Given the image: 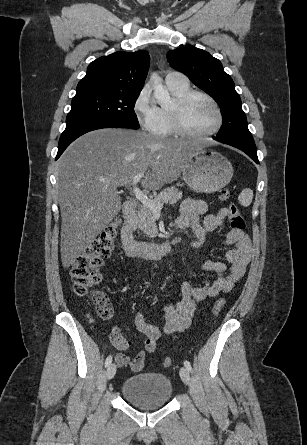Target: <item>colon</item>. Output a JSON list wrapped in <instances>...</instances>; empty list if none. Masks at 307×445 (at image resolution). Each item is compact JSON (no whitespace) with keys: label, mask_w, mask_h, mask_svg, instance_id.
Returning <instances> with one entry per match:
<instances>
[{"label":"colon","mask_w":307,"mask_h":445,"mask_svg":"<svg viewBox=\"0 0 307 445\" xmlns=\"http://www.w3.org/2000/svg\"><path fill=\"white\" fill-rule=\"evenodd\" d=\"M221 201L230 200V191L222 189L219 192ZM228 209L229 222L232 229L244 231L246 224L235 203L230 202ZM118 222H114L103 229L95 240L73 261L70 267V277L73 283V290L78 296H85L90 293L91 300L98 316L104 320L113 317V308L108 297L101 291L92 290L100 281V269L103 260L108 258L115 245L117 237ZM225 304L223 298H219L212 309V315L216 316ZM111 341L115 346L124 344V338L118 330L111 333ZM173 361L170 357L163 360V366L171 367Z\"/></svg>","instance_id":"5ec220e1"}]
</instances>
